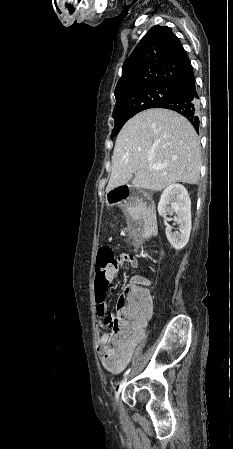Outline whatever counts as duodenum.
I'll list each match as a JSON object with an SVG mask.
<instances>
[{
    "instance_id": "duodenum-1",
    "label": "duodenum",
    "mask_w": 233,
    "mask_h": 449,
    "mask_svg": "<svg viewBox=\"0 0 233 449\" xmlns=\"http://www.w3.org/2000/svg\"><path fill=\"white\" fill-rule=\"evenodd\" d=\"M107 196L109 206H126L129 203L132 206V215L140 223L144 232L152 231L154 224L153 202L147 195L134 191L132 186H112L111 192ZM136 203H139L140 206L135 207Z\"/></svg>"
}]
</instances>
